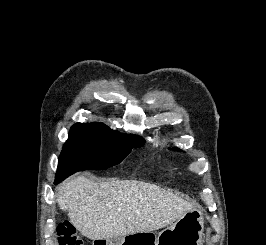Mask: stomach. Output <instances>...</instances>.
I'll use <instances>...</instances> for the list:
<instances>
[{"instance_id":"obj_1","label":"stomach","mask_w":266,"mask_h":245,"mask_svg":"<svg viewBox=\"0 0 266 245\" xmlns=\"http://www.w3.org/2000/svg\"><path fill=\"white\" fill-rule=\"evenodd\" d=\"M204 233V217L201 211H188L180 217L176 223L163 229L155 235L153 231L148 233H129V237H121L118 243L116 239L106 241V245H202Z\"/></svg>"}]
</instances>
